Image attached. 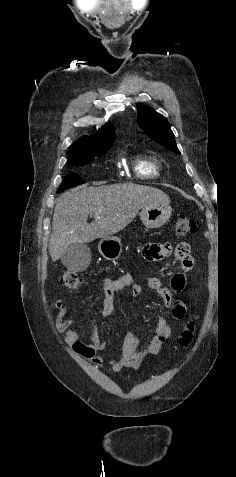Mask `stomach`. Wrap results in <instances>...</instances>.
Here are the masks:
<instances>
[{
    "label": "stomach",
    "mask_w": 236,
    "mask_h": 477,
    "mask_svg": "<svg viewBox=\"0 0 236 477\" xmlns=\"http://www.w3.org/2000/svg\"><path fill=\"white\" fill-rule=\"evenodd\" d=\"M171 216L169 204H150L142 208L140 219L146 228H158L164 225ZM98 250L107 260H116L121 256L122 243L116 236L102 238L98 244Z\"/></svg>",
    "instance_id": "stomach-1"
}]
</instances>
